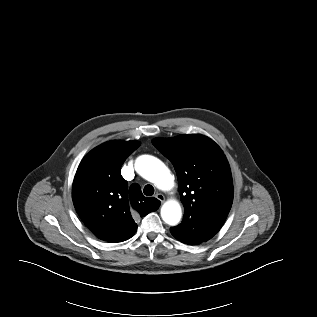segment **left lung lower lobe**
Here are the masks:
<instances>
[{
	"label": "left lung lower lobe",
	"instance_id": "obj_1",
	"mask_svg": "<svg viewBox=\"0 0 317 317\" xmlns=\"http://www.w3.org/2000/svg\"><path fill=\"white\" fill-rule=\"evenodd\" d=\"M224 221L213 218H195L182 226L171 227L172 235L183 243L197 245L211 239L222 227Z\"/></svg>",
	"mask_w": 317,
	"mask_h": 317
}]
</instances>
